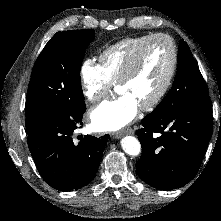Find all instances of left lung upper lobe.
<instances>
[{
	"label": "left lung upper lobe",
	"instance_id": "obj_1",
	"mask_svg": "<svg viewBox=\"0 0 221 221\" xmlns=\"http://www.w3.org/2000/svg\"><path fill=\"white\" fill-rule=\"evenodd\" d=\"M209 98L208 87L187 43L182 39L178 48V67L172 88L152 114L162 112L177 100L195 101Z\"/></svg>",
	"mask_w": 221,
	"mask_h": 221
}]
</instances>
